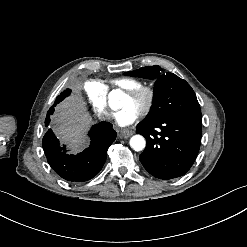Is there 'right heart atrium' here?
I'll use <instances>...</instances> for the list:
<instances>
[{
    "mask_svg": "<svg viewBox=\"0 0 247 247\" xmlns=\"http://www.w3.org/2000/svg\"><path fill=\"white\" fill-rule=\"evenodd\" d=\"M86 97L94 108H99L102 116H105L106 87L96 79H89L83 85Z\"/></svg>",
    "mask_w": 247,
    "mask_h": 247,
    "instance_id": "obj_1",
    "label": "right heart atrium"
}]
</instances>
